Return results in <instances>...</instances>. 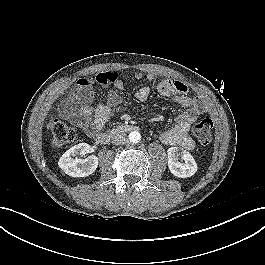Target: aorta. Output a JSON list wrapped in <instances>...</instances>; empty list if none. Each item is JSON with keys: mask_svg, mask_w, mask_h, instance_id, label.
<instances>
[{"mask_svg": "<svg viewBox=\"0 0 265 265\" xmlns=\"http://www.w3.org/2000/svg\"><path fill=\"white\" fill-rule=\"evenodd\" d=\"M129 140L132 143H138L141 140V134L138 131H132L129 134Z\"/></svg>", "mask_w": 265, "mask_h": 265, "instance_id": "1", "label": "aorta"}]
</instances>
